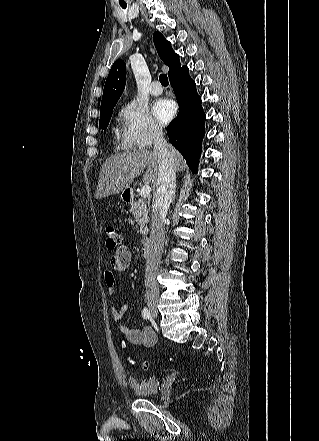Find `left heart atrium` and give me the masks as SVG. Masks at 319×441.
<instances>
[{
	"mask_svg": "<svg viewBox=\"0 0 319 441\" xmlns=\"http://www.w3.org/2000/svg\"><path fill=\"white\" fill-rule=\"evenodd\" d=\"M153 114L161 123H167L175 112V106L170 100L159 99L153 104Z\"/></svg>",
	"mask_w": 319,
	"mask_h": 441,
	"instance_id": "1",
	"label": "left heart atrium"
}]
</instances>
